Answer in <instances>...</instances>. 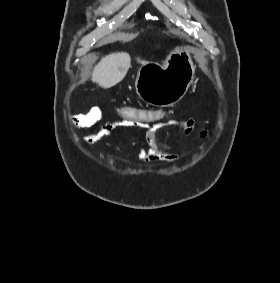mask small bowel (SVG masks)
<instances>
[{
    "label": "small bowel",
    "instance_id": "small-bowel-1",
    "mask_svg": "<svg viewBox=\"0 0 280 283\" xmlns=\"http://www.w3.org/2000/svg\"><path fill=\"white\" fill-rule=\"evenodd\" d=\"M102 113L99 108H92L84 114L75 116L72 119V124L78 128L91 127L101 119ZM118 127L124 128H143L146 130L145 140L147 148H139L138 156L142 163L149 164L155 162H174L177 156L166 149L162 148L157 142V133L164 127H175L182 132L188 134L194 128L193 119H163L162 122H155L154 125H144L143 122H121L109 121L104 123L96 132L87 137V144L92 145L102 138L112 136ZM200 137H206V131L200 132Z\"/></svg>",
    "mask_w": 280,
    "mask_h": 283
}]
</instances>
